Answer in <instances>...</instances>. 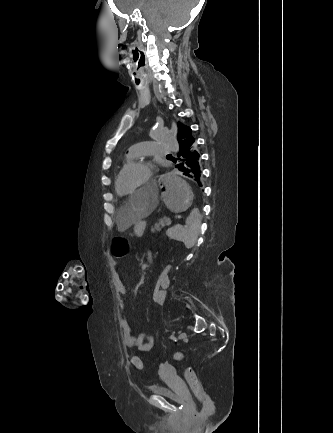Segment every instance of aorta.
Returning a JSON list of instances; mask_svg holds the SVG:
<instances>
[{"label": "aorta", "instance_id": "762f6f07", "mask_svg": "<svg viewBox=\"0 0 333 433\" xmlns=\"http://www.w3.org/2000/svg\"><path fill=\"white\" fill-rule=\"evenodd\" d=\"M149 136L155 142L167 144L174 153L179 152L177 139L165 128L157 126L150 132Z\"/></svg>", "mask_w": 333, "mask_h": 433}]
</instances>
